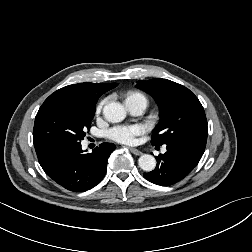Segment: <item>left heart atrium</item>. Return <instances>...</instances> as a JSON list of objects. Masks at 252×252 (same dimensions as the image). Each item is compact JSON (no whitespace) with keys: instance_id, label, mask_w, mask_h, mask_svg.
Segmentation results:
<instances>
[{"instance_id":"left-heart-atrium-1","label":"left heart atrium","mask_w":252,"mask_h":252,"mask_svg":"<svg viewBox=\"0 0 252 252\" xmlns=\"http://www.w3.org/2000/svg\"><path fill=\"white\" fill-rule=\"evenodd\" d=\"M144 132L141 125H120L111 128L108 131V137L114 141L123 144H133L136 137Z\"/></svg>"}]
</instances>
